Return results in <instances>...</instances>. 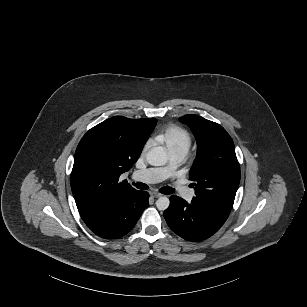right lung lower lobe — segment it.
Wrapping results in <instances>:
<instances>
[{
  "instance_id": "obj_1",
  "label": "right lung lower lobe",
  "mask_w": 307,
  "mask_h": 307,
  "mask_svg": "<svg viewBox=\"0 0 307 307\" xmlns=\"http://www.w3.org/2000/svg\"><path fill=\"white\" fill-rule=\"evenodd\" d=\"M148 198L147 192L134 190L104 203L81 217L96 235L105 239H117L133 229L149 204Z\"/></svg>"
}]
</instances>
